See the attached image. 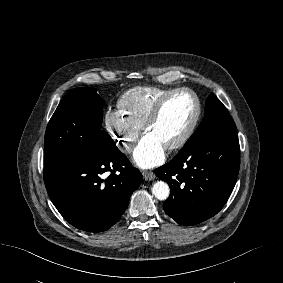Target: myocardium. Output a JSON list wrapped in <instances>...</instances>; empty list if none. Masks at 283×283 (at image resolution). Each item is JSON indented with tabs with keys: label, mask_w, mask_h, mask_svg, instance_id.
Listing matches in <instances>:
<instances>
[{
	"label": "myocardium",
	"mask_w": 283,
	"mask_h": 283,
	"mask_svg": "<svg viewBox=\"0 0 283 283\" xmlns=\"http://www.w3.org/2000/svg\"><path fill=\"white\" fill-rule=\"evenodd\" d=\"M188 94L192 97V99L195 102V114L189 124V126L186 128V130L183 132V134L173 143H171L170 145H168L166 147L167 150H175L178 148L183 147L192 137V135L194 134L200 118H201V114H202V105H201V101L198 97V95L190 88L187 87H182V88H176L171 90L170 92L166 93L165 95H163L161 98H159L156 103L154 104V106L152 107L149 115L147 116L143 126H142V133L145 134L147 129L149 127H151L155 121L158 119L163 107L165 106V104L175 95L177 94Z\"/></svg>",
	"instance_id": "f54148a6"
}]
</instances>
